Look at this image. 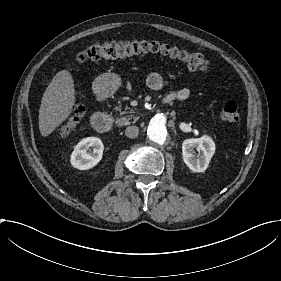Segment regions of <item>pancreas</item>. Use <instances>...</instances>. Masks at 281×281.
<instances>
[{"mask_svg": "<svg viewBox=\"0 0 281 281\" xmlns=\"http://www.w3.org/2000/svg\"><path fill=\"white\" fill-rule=\"evenodd\" d=\"M119 112H120V115H123L122 118L120 119H116V124L118 126H126V125H129L131 122H130V119L133 117V113L134 111L132 109L129 110V113L130 115H126V113L128 112L127 109L125 111H122L121 109L119 108H116ZM138 120V117H134L133 118V122H136Z\"/></svg>", "mask_w": 281, "mask_h": 281, "instance_id": "1", "label": "pancreas"}]
</instances>
